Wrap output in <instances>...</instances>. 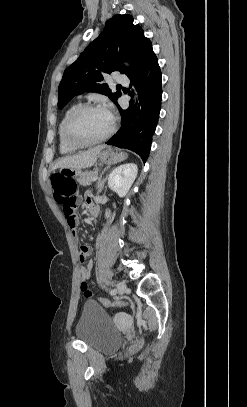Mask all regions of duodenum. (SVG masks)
<instances>
[{
	"instance_id": "duodenum-1",
	"label": "duodenum",
	"mask_w": 247,
	"mask_h": 407,
	"mask_svg": "<svg viewBox=\"0 0 247 407\" xmlns=\"http://www.w3.org/2000/svg\"><path fill=\"white\" fill-rule=\"evenodd\" d=\"M88 207H89L90 213H91L92 215H94V214L96 213V206H95V204L91 203V204L88 205Z\"/></svg>"
}]
</instances>
